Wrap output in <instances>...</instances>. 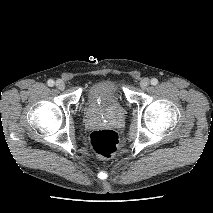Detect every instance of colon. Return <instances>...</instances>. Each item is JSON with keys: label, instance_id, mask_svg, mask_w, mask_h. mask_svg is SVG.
<instances>
[{"label": "colon", "instance_id": "colon-1", "mask_svg": "<svg viewBox=\"0 0 213 213\" xmlns=\"http://www.w3.org/2000/svg\"><path fill=\"white\" fill-rule=\"evenodd\" d=\"M89 141L94 153L103 159L114 156L119 148L118 133L111 129H98L92 131Z\"/></svg>", "mask_w": 213, "mask_h": 213}]
</instances>
